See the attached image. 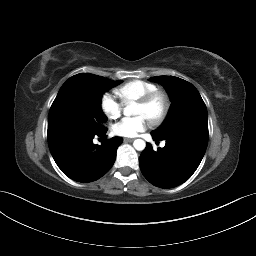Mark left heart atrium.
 Returning <instances> with one entry per match:
<instances>
[{"label": "left heart atrium", "instance_id": "left-heart-atrium-1", "mask_svg": "<svg viewBox=\"0 0 256 256\" xmlns=\"http://www.w3.org/2000/svg\"><path fill=\"white\" fill-rule=\"evenodd\" d=\"M148 118L140 115L133 118H125L116 123L113 132L122 137H135L148 127Z\"/></svg>", "mask_w": 256, "mask_h": 256}]
</instances>
